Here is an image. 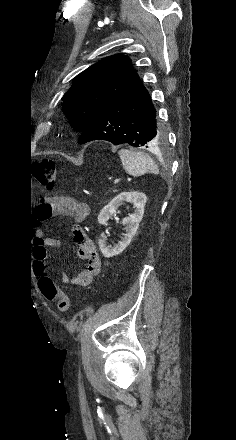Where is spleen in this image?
Here are the masks:
<instances>
[{
	"instance_id": "spleen-1",
	"label": "spleen",
	"mask_w": 236,
	"mask_h": 440,
	"mask_svg": "<svg viewBox=\"0 0 236 440\" xmlns=\"http://www.w3.org/2000/svg\"><path fill=\"white\" fill-rule=\"evenodd\" d=\"M125 171L135 177L151 172L157 174L158 166L146 153L136 152L132 149H121L118 152Z\"/></svg>"
}]
</instances>
